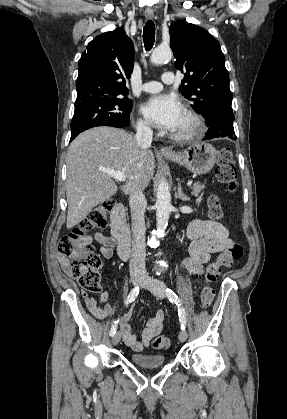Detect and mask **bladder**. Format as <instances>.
<instances>
[{"mask_svg":"<svg viewBox=\"0 0 287 419\" xmlns=\"http://www.w3.org/2000/svg\"><path fill=\"white\" fill-rule=\"evenodd\" d=\"M130 358L135 365L146 369L158 368L165 363V357L162 355L134 353Z\"/></svg>","mask_w":287,"mask_h":419,"instance_id":"31cf9c89","label":"bladder"}]
</instances>
